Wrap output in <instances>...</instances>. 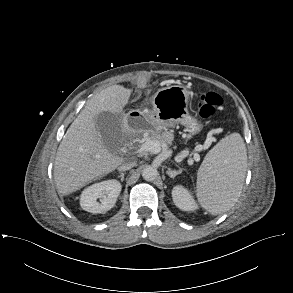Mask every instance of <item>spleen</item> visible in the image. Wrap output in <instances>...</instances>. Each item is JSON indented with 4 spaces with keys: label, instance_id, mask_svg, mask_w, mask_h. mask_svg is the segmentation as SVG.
<instances>
[{
    "label": "spleen",
    "instance_id": "1",
    "mask_svg": "<svg viewBox=\"0 0 293 293\" xmlns=\"http://www.w3.org/2000/svg\"><path fill=\"white\" fill-rule=\"evenodd\" d=\"M247 153L243 138L232 133L206 155L197 173L196 195L212 215L228 211L240 197L246 174Z\"/></svg>",
    "mask_w": 293,
    "mask_h": 293
}]
</instances>
